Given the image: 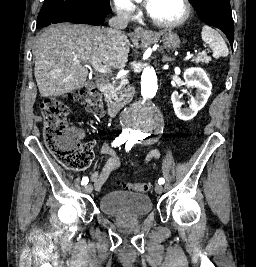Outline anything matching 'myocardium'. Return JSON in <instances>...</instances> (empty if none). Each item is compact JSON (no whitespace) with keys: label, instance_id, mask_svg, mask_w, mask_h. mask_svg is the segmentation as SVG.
Returning <instances> with one entry per match:
<instances>
[{"label":"myocardium","instance_id":"obj_1","mask_svg":"<svg viewBox=\"0 0 256 267\" xmlns=\"http://www.w3.org/2000/svg\"><path fill=\"white\" fill-rule=\"evenodd\" d=\"M171 2L180 7V9L182 10V15L179 19L162 26L167 29H173L177 26L182 25L190 16V8L185 0H171Z\"/></svg>","mask_w":256,"mask_h":267}]
</instances>
